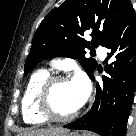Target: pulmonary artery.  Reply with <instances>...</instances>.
Here are the masks:
<instances>
[{
  "mask_svg": "<svg viewBox=\"0 0 136 136\" xmlns=\"http://www.w3.org/2000/svg\"><path fill=\"white\" fill-rule=\"evenodd\" d=\"M97 53L99 55L100 58H104L106 55V51L103 47H98L97 48Z\"/></svg>",
  "mask_w": 136,
  "mask_h": 136,
  "instance_id": "pulmonary-artery-1",
  "label": "pulmonary artery"
}]
</instances>
